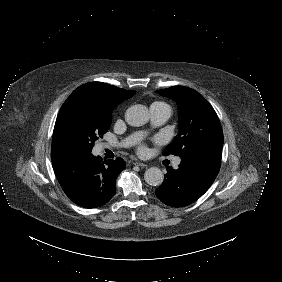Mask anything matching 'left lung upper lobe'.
Masks as SVG:
<instances>
[{
	"mask_svg": "<svg viewBox=\"0 0 282 282\" xmlns=\"http://www.w3.org/2000/svg\"><path fill=\"white\" fill-rule=\"evenodd\" d=\"M177 102L179 133L169 144L164 156L184 157L192 151L209 148L222 150L223 132L216 112L197 91L184 86H172L156 91Z\"/></svg>",
	"mask_w": 282,
	"mask_h": 282,
	"instance_id": "1",
	"label": "left lung upper lobe"
}]
</instances>
